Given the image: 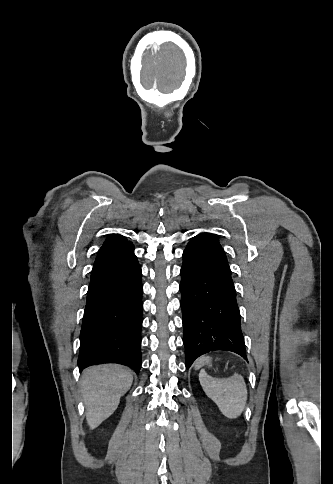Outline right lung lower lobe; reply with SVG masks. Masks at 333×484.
Here are the masks:
<instances>
[{"label":"right lung lower lobe","mask_w":333,"mask_h":484,"mask_svg":"<svg viewBox=\"0 0 333 484\" xmlns=\"http://www.w3.org/2000/svg\"><path fill=\"white\" fill-rule=\"evenodd\" d=\"M141 268L132 244L99 252L87 293L80 333V371L116 362L141 367Z\"/></svg>","instance_id":"obj_1"}]
</instances>
